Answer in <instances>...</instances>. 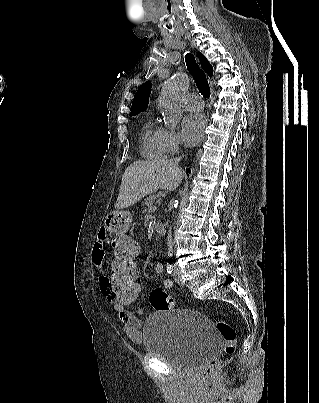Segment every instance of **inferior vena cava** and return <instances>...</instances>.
Listing matches in <instances>:
<instances>
[{
  "label": "inferior vena cava",
  "mask_w": 319,
  "mask_h": 403,
  "mask_svg": "<svg viewBox=\"0 0 319 403\" xmlns=\"http://www.w3.org/2000/svg\"><path fill=\"white\" fill-rule=\"evenodd\" d=\"M180 160H181V157H176V158H174L173 160H171V164H172L173 166L179 168L178 163H179ZM172 246H173V242H172V236H171V233H170V234H169V237H168V247H169V250H170V251L172 250Z\"/></svg>",
  "instance_id": "inferior-vena-cava-1"
}]
</instances>
